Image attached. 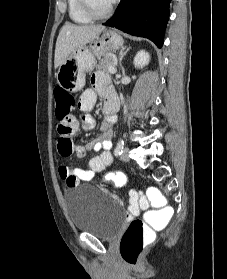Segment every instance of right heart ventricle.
Masks as SVG:
<instances>
[{
	"label": "right heart ventricle",
	"instance_id": "1",
	"mask_svg": "<svg viewBox=\"0 0 227 279\" xmlns=\"http://www.w3.org/2000/svg\"><path fill=\"white\" fill-rule=\"evenodd\" d=\"M69 18L77 24H88L91 22L89 18L81 9L78 0H67Z\"/></svg>",
	"mask_w": 227,
	"mask_h": 279
}]
</instances>
